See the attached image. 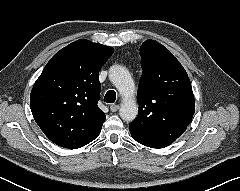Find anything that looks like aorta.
Instances as JSON below:
<instances>
[{"mask_svg": "<svg viewBox=\"0 0 240 191\" xmlns=\"http://www.w3.org/2000/svg\"><path fill=\"white\" fill-rule=\"evenodd\" d=\"M109 79L123 97L119 115L126 121H133L138 115V106L133 97L134 82L129 71L121 65H113L109 69Z\"/></svg>", "mask_w": 240, "mask_h": 191, "instance_id": "obj_1", "label": "aorta"}]
</instances>
